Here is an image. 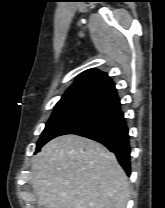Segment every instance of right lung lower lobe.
I'll list each match as a JSON object with an SVG mask.
<instances>
[{
    "instance_id": "98d812e1",
    "label": "right lung lower lobe",
    "mask_w": 165,
    "mask_h": 208,
    "mask_svg": "<svg viewBox=\"0 0 165 208\" xmlns=\"http://www.w3.org/2000/svg\"><path fill=\"white\" fill-rule=\"evenodd\" d=\"M120 107L118 96L110 97L94 106L60 135L77 134L105 145L115 153L123 169L130 175L128 128Z\"/></svg>"
}]
</instances>
